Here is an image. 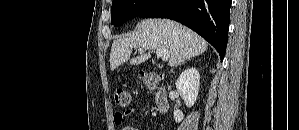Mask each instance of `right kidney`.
I'll list each match as a JSON object with an SVG mask.
<instances>
[{"label": "right kidney", "mask_w": 299, "mask_h": 130, "mask_svg": "<svg viewBox=\"0 0 299 130\" xmlns=\"http://www.w3.org/2000/svg\"><path fill=\"white\" fill-rule=\"evenodd\" d=\"M199 82L200 74L194 67L184 70L176 82L177 92L180 94L186 106L189 108L192 107L197 100ZM173 114L175 121L178 123L184 118L183 113L179 109H175Z\"/></svg>", "instance_id": "right-kidney-1"}]
</instances>
